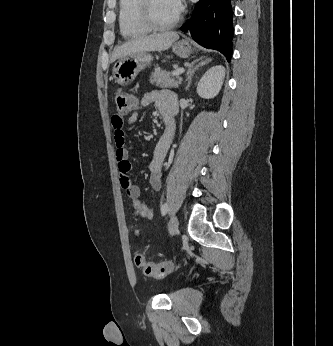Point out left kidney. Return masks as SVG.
I'll return each instance as SVG.
<instances>
[{"label": "left kidney", "instance_id": "5707ae66", "mask_svg": "<svg viewBox=\"0 0 333 346\" xmlns=\"http://www.w3.org/2000/svg\"><path fill=\"white\" fill-rule=\"evenodd\" d=\"M224 77L225 68L222 65H216L208 69L198 83V95L204 99L214 98L223 85Z\"/></svg>", "mask_w": 333, "mask_h": 346}]
</instances>
